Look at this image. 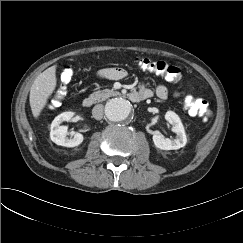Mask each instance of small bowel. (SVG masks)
<instances>
[{
    "instance_id": "1",
    "label": "small bowel",
    "mask_w": 243,
    "mask_h": 243,
    "mask_svg": "<svg viewBox=\"0 0 243 243\" xmlns=\"http://www.w3.org/2000/svg\"><path fill=\"white\" fill-rule=\"evenodd\" d=\"M126 76V70L120 67H108L98 72V77L101 79L117 80L125 78ZM134 92L146 96V99L152 97L154 94L152 90L144 85H141L139 89ZM155 95L160 99H166L169 96V90L164 84H158L155 88ZM173 95L174 97H179L180 92L175 91Z\"/></svg>"
}]
</instances>
